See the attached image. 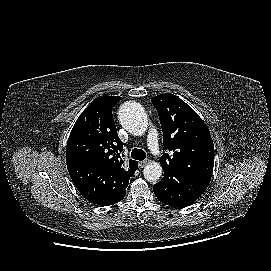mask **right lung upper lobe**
<instances>
[{"label":"right lung upper lobe","instance_id":"1","mask_svg":"<svg viewBox=\"0 0 271 271\" xmlns=\"http://www.w3.org/2000/svg\"><path fill=\"white\" fill-rule=\"evenodd\" d=\"M121 100L119 96L95 98L74 124L66 147V163L84 161L100 168L116 170L131 177L137 162L129 160L125 167L119 152L123 143L119 139L112 108Z\"/></svg>","mask_w":271,"mask_h":271}]
</instances>
